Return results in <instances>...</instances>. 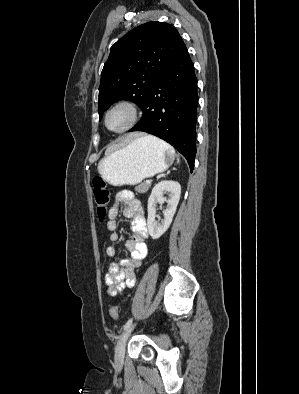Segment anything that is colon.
Wrapping results in <instances>:
<instances>
[{
    "mask_svg": "<svg viewBox=\"0 0 299 394\" xmlns=\"http://www.w3.org/2000/svg\"><path fill=\"white\" fill-rule=\"evenodd\" d=\"M92 184L97 215L100 219H104L108 213L110 191L106 181L101 176H95ZM109 313L111 318L116 320L119 315L117 306H111Z\"/></svg>",
    "mask_w": 299,
    "mask_h": 394,
    "instance_id": "1",
    "label": "colon"
}]
</instances>
